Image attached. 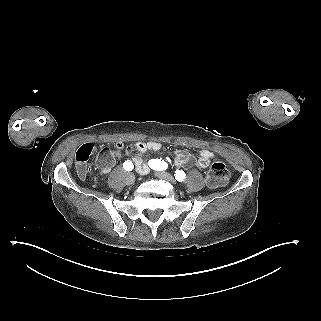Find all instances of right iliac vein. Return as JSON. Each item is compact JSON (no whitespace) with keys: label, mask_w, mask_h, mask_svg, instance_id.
Segmentation results:
<instances>
[{"label":"right iliac vein","mask_w":321,"mask_h":321,"mask_svg":"<svg viewBox=\"0 0 321 321\" xmlns=\"http://www.w3.org/2000/svg\"><path fill=\"white\" fill-rule=\"evenodd\" d=\"M127 184L132 185L135 181V175L132 173H129L126 178Z\"/></svg>","instance_id":"obj_1"}]
</instances>
